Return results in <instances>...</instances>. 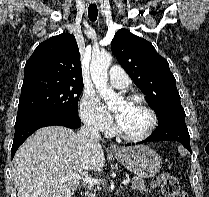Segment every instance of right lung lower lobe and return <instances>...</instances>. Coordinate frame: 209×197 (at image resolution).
Wrapping results in <instances>:
<instances>
[{"label":"right lung lower lobe","mask_w":209,"mask_h":197,"mask_svg":"<svg viewBox=\"0 0 209 197\" xmlns=\"http://www.w3.org/2000/svg\"><path fill=\"white\" fill-rule=\"evenodd\" d=\"M60 125L71 129H77L81 126V120L78 115L67 112L48 111L24 117L16 120L15 135L11 149L12 158L18 147L37 129L45 126Z\"/></svg>","instance_id":"right-lung-lower-lobe-1"}]
</instances>
